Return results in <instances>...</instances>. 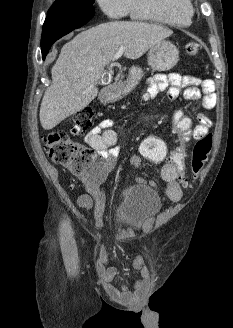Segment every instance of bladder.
I'll use <instances>...</instances> for the list:
<instances>
[{
  "label": "bladder",
  "instance_id": "obj_1",
  "mask_svg": "<svg viewBox=\"0 0 233 328\" xmlns=\"http://www.w3.org/2000/svg\"><path fill=\"white\" fill-rule=\"evenodd\" d=\"M162 208L159 193L146 185H131L118 195L117 217L119 222L138 227L154 218Z\"/></svg>",
  "mask_w": 233,
  "mask_h": 328
}]
</instances>
